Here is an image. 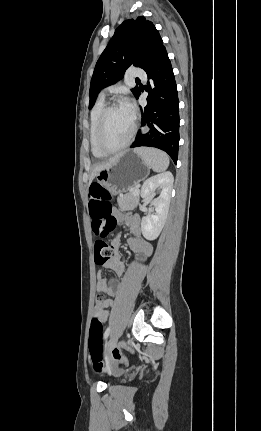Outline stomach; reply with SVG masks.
Wrapping results in <instances>:
<instances>
[{
    "mask_svg": "<svg viewBox=\"0 0 261 431\" xmlns=\"http://www.w3.org/2000/svg\"><path fill=\"white\" fill-rule=\"evenodd\" d=\"M150 166L136 150L125 151L118 160L96 175L98 183L113 194L127 191L143 181Z\"/></svg>",
    "mask_w": 261,
    "mask_h": 431,
    "instance_id": "stomach-1",
    "label": "stomach"
}]
</instances>
